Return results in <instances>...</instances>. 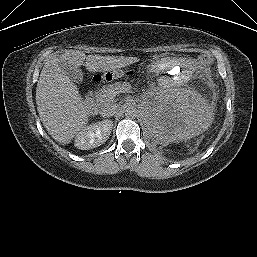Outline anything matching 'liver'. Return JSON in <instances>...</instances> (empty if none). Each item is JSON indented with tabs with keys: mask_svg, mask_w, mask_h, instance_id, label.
I'll use <instances>...</instances> for the list:
<instances>
[{
	"mask_svg": "<svg viewBox=\"0 0 257 257\" xmlns=\"http://www.w3.org/2000/svg\"><path fill=\"white\" fill-rule=\"evenodd\" d=\"M61 57L70 65H85L90 72H103L126 67L136 57L88 55L66 50ZM39 117L47 132L61 145L69 144L88 123V110L77 86L62 71L58 55L48 56L36 88Z\"/></svg>",
	"mask_w": 257,
	"mask_h": 257,
	"instance_id": "1",
	"label": "liver"
}]
</instances>
